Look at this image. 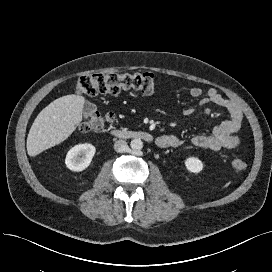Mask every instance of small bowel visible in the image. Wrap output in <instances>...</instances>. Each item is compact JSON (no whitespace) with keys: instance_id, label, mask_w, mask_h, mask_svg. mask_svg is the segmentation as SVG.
<instances>
[{"instance_id":"1","label":"small bowel","mask_w":272,"mask_h":272,"mask_svg":"<svg viewBox=\"0 0 272 272\" xmlns=\"http://www.w3.org/2000/svg\"><path fill=\"white\" fill-rule=\"evenodd\" d=\"M188 93L191 97L198 99L200 106L213 104L225 109L230 118L215 126L211 134H198L189 140L172 134L161 135L157 138L158 146L176 149L192 145L197 148L211 150L238 148L241 143L238 132L244 124V115L240 106L222 96L214 88L209 89L204 94L201 88L193 86L188 88ZM194 113L195 108L193 106L186 107L183 110L185 116H192Z\"/></svg>"}]
</instances>
